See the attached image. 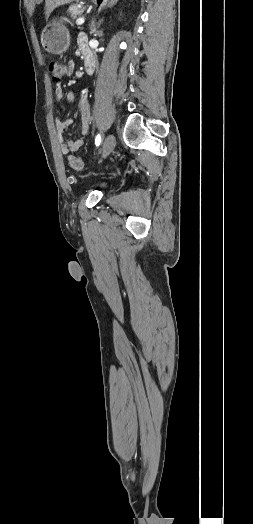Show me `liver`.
I'll return each mask as SVG.
<instances>
[{"mask_svg":"<svg viewBox=\"0 0 253 524\" xmlns=\"http://www.w3.org/2000/svg\"><path fill=\"white\" fill-rule=\"evenodd\" d=\"M75 0H45V14L46 17H49V15L52 13V11L64 4L71 3Z\"/></svg>","mask_w":253,"mask_h":524,"instance_id":"1","label":"liver"}]
</instances>
